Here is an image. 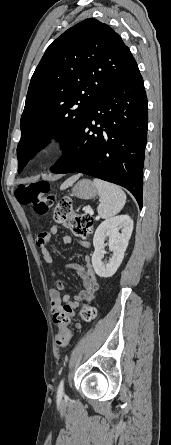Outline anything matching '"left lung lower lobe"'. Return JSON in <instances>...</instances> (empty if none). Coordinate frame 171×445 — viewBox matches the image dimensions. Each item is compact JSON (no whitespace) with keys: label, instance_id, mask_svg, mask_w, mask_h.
Segmentation results:
<instances>
[{"label":"left lung lower lobe","instance_id":"1","mask_svg":"<svg viewBox=\"0 0 171 445\" xmlns=\"http://www.w3.org/2000/svg\"><path fill=\"white\" fill-rule=\"evenodd\" d=\"M147 118V96L136 66L94 101L51 172H79L115 183L128 189L141 208Z\"/></svg>","mask_w":171,"mask_h":445}]
</instances>
